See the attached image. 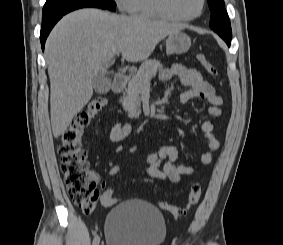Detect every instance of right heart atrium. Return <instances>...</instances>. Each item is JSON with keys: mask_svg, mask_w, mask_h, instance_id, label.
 <instances>
[{"mask_svg": "<svg viewBox=\"0 0 283 245\" xmlns=\"http://www.w3.org/2000/svg\"><path fill=\"white\" fill-rule=\"evenodd\" d=\"M129 1L130 0H114V2L116 3L117 7L121 11H126L128 9Z\"/></svg>", "mask_w": 283, "mask_h": 245, "instance_id": "right-heart-atrium-1", "label": "right heart atrium"}]
</instances>
